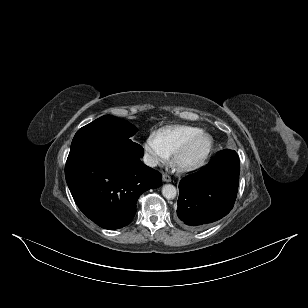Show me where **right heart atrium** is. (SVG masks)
I'll return each mask as SVG.
<instances>
[{"mask_svg":"<svg viewBox=\"0 0 308 308\" xmlns=\"http://www.w3.org/2000/svg\"><path fill=\"white\" fill-rule=\"evenodd\" d=\"M143 153L146 163L155 167L166 163L170 153L159 143L154 135H150L143 143Z\"/></svg>","mask_w":308,"mask_h":308,"instance_id":"obj_1","label":"right heart atrium"}]
</instances>
